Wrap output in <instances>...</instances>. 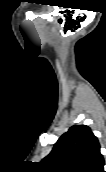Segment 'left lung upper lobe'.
<instances>
[{
  "label": "left lung upper lobe",
  "mask_w": 106,
  "mask_h": 172,
  "mask_svg": "<svg viewBox=\"0 0 106 172\" xmlns=\"http://www.w3.org/2000/svg\"><path fill=\"white\" fill-rule=\"evenodd\" d=\"M97 137L87 125H73L40 163L42 172H104Z\"/></svg>",
  "instance_id": "5c2ea615"
}]
</instances>
